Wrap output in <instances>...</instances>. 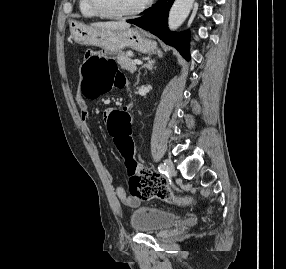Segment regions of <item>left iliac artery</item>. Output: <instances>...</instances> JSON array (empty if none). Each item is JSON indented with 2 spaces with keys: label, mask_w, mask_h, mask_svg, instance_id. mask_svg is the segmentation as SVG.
<instances>
[{
  "label": "left iliac artery",
  "mask_w": 286,
  "mask_h": 269,
  "mask_svg": "<svg viewBox=\"0 0 286 269\" xmlns=\"http://www.w3.org/2000/svg\"><path fill=\"white\" fill-rule=\"evenodd\" d=\"M158 170H159V172H161V173H167V166H166L165 164H160V165L158 166Z\"/></svg>",
  "instance_id": "obj_1"
}]
</instances>
